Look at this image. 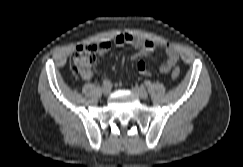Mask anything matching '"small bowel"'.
I'll return each instance as SVG.
<instances>
[{
  "label": "small bowel",
  "mask_w": 243,
  "mask_h": 167,
  "mask_svg": "<svg viewBox=\"0 0 243 167\" xmlns=\"http://www.w3.org/2000/svg\"><path fill=\"white\" fill-rule=\"evenodd\" d=\"M114 44L121 46L124 44L131 45L137 49V51L131 56L132 60L137 61L136 68L138 72L144 76L150 75L146 63L143 58L156 48H161L166 53V59L160 66L162 73H168L176 65L179 55L177 50L167 42H155L150 39H145L130 33H122L115 37ZM111 43L104 41L97 45V53L102 56L107 53L111 48ZM121 63L124 65L125 57L121 58ZM84 78H91V74Z\"/></svg>",
  "instance_id": "c3829d8e"
}]
</instances>
